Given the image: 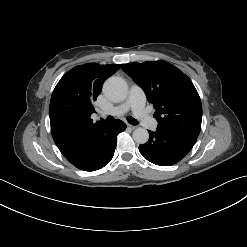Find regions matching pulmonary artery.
Wrapping results in <instances>:
<instances>
[{"label":"pulmonary artery","mask_w":247,"mask_h":247,"mask_svg":"<svg viewBox=\"0 0 247 247\" xmlns=\"http://www.w3.org/2000/svg\"><path fill=\"white\" fill-rule=\"evenodd\" d=\"M145 95L143 90L133 85L130 89L129 96L127 100L121 103L118 106L113 107L108 113L114 116H120L128 112L129 110L132 111L133 115L136 119L146 128L150 130H155L157 128L158 122L152 116L148 114L145 110Z\"/></svg>","instance_id":"pulmonary-artery-1"}]
</instances>
